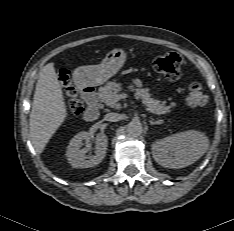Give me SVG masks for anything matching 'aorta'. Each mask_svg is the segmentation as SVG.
Returning a JSON list of instances; mask_svg holds the SVG:
<instances>
[{
	"label": "aorta",
	"instance_id": "762f6f07",
	"mask_svg": "<svg viewBox=\"0 0 234 231\" xmlns=\"http://www.w3.org/2000/svg\"><path fill=\"white\" fill-rule=\"evenodd\" d=\"M126 131L128 135L138 137L142 133V124L139 121H132L127 125Z\"/></svg>",
	"mask_w": 234,
	"mask_h": 231
}]
</instances>
